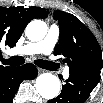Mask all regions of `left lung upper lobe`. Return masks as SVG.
Returning a JSON list of instances; mask_svg holds the SVG:
<instances>
[{"mask_svg":"<svg viewBox=\"0 0 103 103\" xmlns=\"http://www.w3.org/2000/svg\"><path fill=\"white\" fill-rule=\"evenodd\" d=\"M54 19L60 26V40L54 54L61 56L69 72L80 69L103 68L100 46L92 32L74 15L55 11Z\"/></svg>","mask_w":103,"mask_h":103,"instance_id":"left-lung-upper-lobe-1","label":"left lung upper lobe"}]
</instances>
